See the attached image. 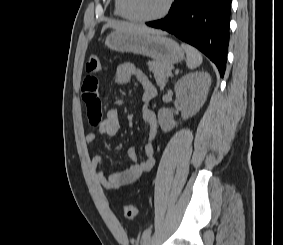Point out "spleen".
Instances as JSON below:
<instances>
[{
    "label": "spleen",
    "mask_w": 283,
    "mask_h": 245,
    "mask_svg": "<svg viewBox=\"0 0 283 245\" xmlns=\"http://www.w3.org/2000/svg\"><path fill=\"white\" fill-rule=\"evenodd\" d=\"M182 48L186 52V64L189 69H195L201 65L203 58L201 53L197 49L188 44H182Z\"/></svg>",
    "instance_id": "obj_1"
}]
</instances>
